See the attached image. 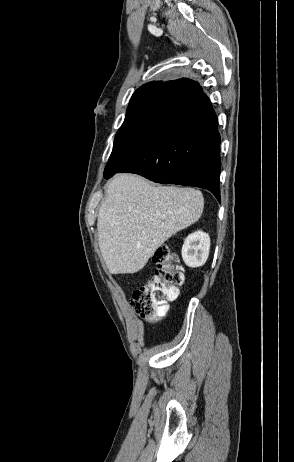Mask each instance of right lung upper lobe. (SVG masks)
<instances>
[{
	"label": "right lung upper lobe",
	"instance_id": "right-lung-upper-lobe-1",
	"mask_svg": "<svg viewBox=\"0 0 294 462\" xmlns=\"http://www.w3.org/2000/svg\"><path fill=\"white\" fill-rule=\"evenodd\" d=\"M190 93H194L195 95L203 94L199 83L190 79L149 82L134 92L128 108L168 95H178L185 99Z\"/></svg>",
	"mask_w": 294,
	"mask_h": 462
}]
</instances>
